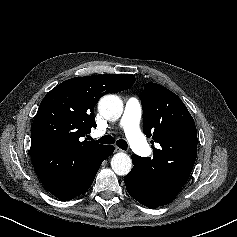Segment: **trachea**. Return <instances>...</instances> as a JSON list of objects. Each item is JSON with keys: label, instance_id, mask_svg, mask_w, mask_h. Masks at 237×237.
I'll return each instance as SVG.
<instances>
[{"label": "trachea", "instance_id": "obj_1", "mask_svg": "<svg viewBox=\"0 0 237 237\" xmlns=\"http://www.w3.org/2000/svg\"><path fill=\"white\" fill-rule=\"evenodd\" d=\"M97 142L102 144H113L115 140L111 135H105L98 139ZM116 145L123 150H127L128 148L127 142L123 139L117 140Z\"/></svg>", "mask_w": 237, "mask_h": 237}]
</instances>
